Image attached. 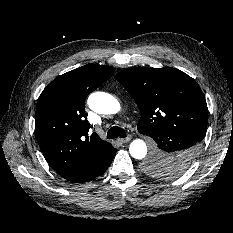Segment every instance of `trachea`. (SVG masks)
I'll use <instances>...</instances> for the list:
<instances>
[{
  "label": "trachea",
  "mask_w": 233,
  "mask_h": 233,
  "mask_svg": "<svg viewBox=\"0 0 233 233\" xmlns=\"http://www.w3.org/2000/svg\"><path fill=\"white\" fill-rule=\"evenodd\" d=\"M117 137L125 138L126 132L124 129H122L118 126H113L107 132V139H115Z\"/></svg>",
  "instance_id": "1"
}]
</instances>
